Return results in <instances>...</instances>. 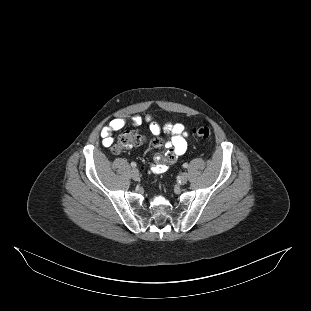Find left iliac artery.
<instances>
[{"mask_svg":"<svg viewBox=\"0 0 311 311\" xmlns=\"http://www.w3.org/2000/svg\"><path fill=\"white\" fill-rule=\"evenodd\" d=\"M183 167H184V168H187V167H188V164H187V163H184V164H183Z\"/></svg>","mask_w":311,"mask_h":311,"instance_id":"1","label":"left iliac artery"}]
</instances>
